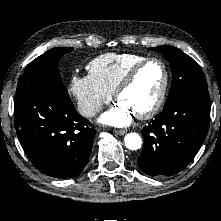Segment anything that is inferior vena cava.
<instances>
[{"mask_svg": "<svg viewBox=\"0 0 221 221\" xmlns=\"http://www.w3.org/2000/svg\"><path fill=\"white\" fill-rule=\"evenodd\" d=\"M101 110V107L97 104H86L80 108V113L85 117H92Z\"/></svg>", "mask_w": 221, "mask_h": 221, "instance_id": "inferior-vena-cava-1", "label": "inferior vena cava"}]
</instances>
